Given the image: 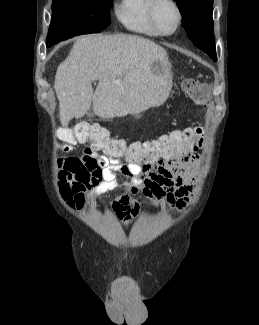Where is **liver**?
<instances>
[{"label": "liver", "instance_id": "liver-1", "mask_svg": "<svg viewBox=\"0 0 259 325\" xmlns=\"http://www.w3.org/2000/svg\"><path fill=\"white\" fill-rule=\"evenodd\" d=\"M169 71L166 50L151 40L124 34L79 37L55 76L60 122L67 127L74 117H83L92 103L101 119L160 106L169 96L171 83L165 80ZM94 80L99 81L95 92Z\"/></svg>", "mask_w": 259, "mask_h": 325}]
</instances>
